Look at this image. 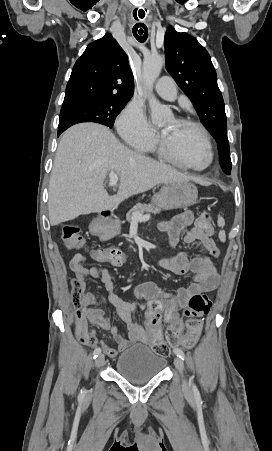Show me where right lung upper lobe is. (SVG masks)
Here are the masks:
<instances>
[{
  "label": "right lung upper lobe",
  "mask_w": 272,
  "mask_h": 451,
  "mask_svg": "<svg viewBox=\"0 0 272 451\" xmlns=\"http://www.w3.org/2000/svg\"><path fill=\"white\" fill-rule=\"evenodd\" d=\"M134 91L128 57L110 34L89 44L76 61L64 101L82 97L130 100Z\"/></svg>",
  "instance_id": "obj_1"
}]
</instances>
